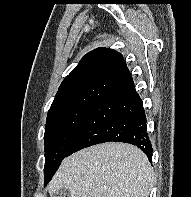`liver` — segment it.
<instances>
[{
  "mask_svg": "<svg viewBox=\"0 0 191 197\" xmlns=\"http://www.w3.org/2000/svg\"><path fill=\"white\" fill-rule=\"evenodd\" d=\"M153 182L151 164L139 148L108 142L65 158L48 191L51 197L61 189L71 197H148Z\"/></svg>",
  "mask_w": 191,
  "mask_h": 197,
  "instance_id": "liver-1",
  "label": "liver"
}]
</instances>
